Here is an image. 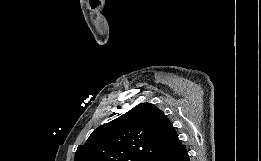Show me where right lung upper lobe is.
Here are the masks:
<instances>
[{
  "instance_id": "right-lung-upper-lobe-1",
  "label": "right lung upper lobe",
  "mask_w": 261,
  "mask_h": 161,
  "mask_svg": "<svg viewBox=\"0 0 261 161\" xmlns=\"http://www.w3.org/2000/svg\"><path fill=\"white\" fill-rule=\"evenodd\" d=\"M180 146L164 113L151 103H141L99 126L78 146L75 161H150Z\"/></svg>"
}]
</instances>
